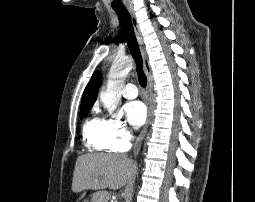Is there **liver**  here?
<instances>
[{
  "mask_svg": "<svg viewBox=\"0 0 255 202\" xmlns=\"http://www.w3.org/2000/svg\"><path fill=\"white\" fill-rule=\"evenodd\" d=\"M135 173L136 164L125 155L88 153L77 158L72 191L119 189L130 183Z\"/></svg>",
  "mask_w": 255,
  "mask_h": 202,
  "instance_id": "1",
  "label": "liver"
}]
</instances>
